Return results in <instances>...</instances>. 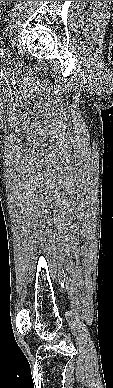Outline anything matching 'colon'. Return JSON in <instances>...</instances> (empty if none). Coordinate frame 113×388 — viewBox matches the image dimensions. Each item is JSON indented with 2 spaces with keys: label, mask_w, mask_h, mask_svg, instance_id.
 <instances>
[{
  "label": "colon",
  "mask_w": 113,
  "mask_h": 388,
  "mask_svg": "<svg viewBox=\"0 0 113 388\" xmlns=\"http://www.w3.org/2000/svg\"><path fill=\"white\" fill-rule=\"evenodd\" d=\"M4 3V1H0V4H3Z\"/></svg>",
  "instance_id": "obj_1"
}]
</instances>
